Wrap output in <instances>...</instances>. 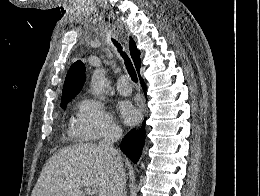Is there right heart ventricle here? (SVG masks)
<instances>
[{
	"instance_id": "obj_1",
	"label": "right heart ventricle",
	"mask_w": 260,
	"mask_h": 196,
	"mask_svg": "<svg viewBox=\"0 0 260 196\" xmlns=\"http://www.w3.org/2000/svg\"><path fill=\"white\" fill-rule=\"evenodd\" d=\"M65 192H79V191L78 190H66Z\"/></svg>"
}]
</instances>
